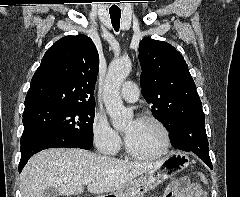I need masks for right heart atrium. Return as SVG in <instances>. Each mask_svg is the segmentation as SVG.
I'll return each instance as SVG.
<instances>
[{
    "label": "right heart atrium",
    "mask_w": 240,
    "mask_h": 197,
    "mask_svg": "<svg viewBox=\"0 0 240 197\" xmlns=\"http://www.w3.org/2000/svg\"><path fill=\"white\" fill-rule=\"evenodd\" d=\"M91 137L98 152L105 155L116 154L122 146L119 133L103 114L95 115L91 125Z\"/></svg>",
    "instance_id": "obj_1"
}]
</instances>
